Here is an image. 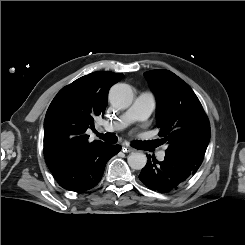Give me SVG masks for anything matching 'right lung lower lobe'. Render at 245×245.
I'll list each match as a JSON object with an SVG mask.
<instances>
[{
	"label": "right lung lower lobe",
	"instance_id": "1",
	"mask_svg": "<svg viewBox=\"0 0 245 245\" xmlns=\"http://www.w3.org/2000/svg\"><path fill=\"white\" fill-rule=\"evenodd\" d=\"M120 145L101 144L96 149L72 159L54 176L64 189L81 193L101 180L106 163L119 151Z\"/></svg>",
	"mask_w": 245,
	"mask_h": 245
}]
</instances>
